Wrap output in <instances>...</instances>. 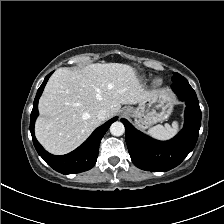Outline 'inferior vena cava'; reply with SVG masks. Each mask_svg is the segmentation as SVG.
<instances>
[{"label":"inferior vena cava","mask_w":224,"mask_h":224,"mask_svg":"<svg viewBox=\"0 0 224 224\" xmlns=\"http://www.w3.org/2000/svg\"><path fill=\"white\" fill-rule=\"evenodd\" d=\"M97 119L99 121H104L107 119V110L106 109H101L98 114H97Z\"/></svg>","instance_id":"602c4592"}]
</instances>
